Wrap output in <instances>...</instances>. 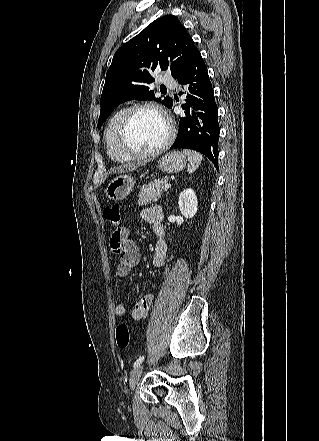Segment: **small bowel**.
Masks as SVG:
<instances>
[{
  "mask_svg": "<svg viewBox=\"0 0 319 441\" xmlns=\"http://www.w3.org/2000/svg\"><path fill=\"white\" fill-rule=\"evenodd\" d=\"M141 217L151 225L152 230L157 237L152 262L154 266L162 267L167 258V244L165 241V230L162 223L164 218L163 210L160 206H151L141 212ZM110 245L114 252L120 254L117 274L120 277H125L140 260L139 248L130 238L126 229L119 230L117 236H114L113 234ZM153 299L154 296L152 294H146L139 297L131 311L132 318L136 321L145 319L148 315ZM114 313L116 316H123L125 314V307L122 304H116L114 306Z\"/></svg>",
  "mask_w": 319,
  "mask_h": 441,
  "instance_id": "1",
  "label": "small bowel"
}]
</instances>
